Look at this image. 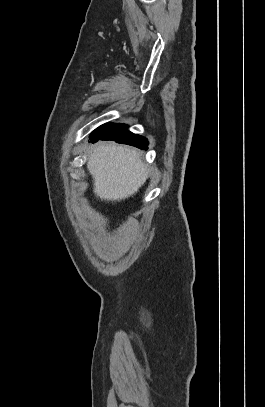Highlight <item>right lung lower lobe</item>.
<instances>
[{"label": "right lung lower lobe", "mask_w": 265, "mask_h": 407, "mask_svg": "<svg viewBox=\"0 0 265 407\" xmlns=\"http://www.w3.org/2000/svg\"><path fill=\"white\" fill-rule=\"evenodd\" d=\"M113 140L117 143H123L138 147L140 149H147L148 141L146 138L133 134L127 129L124 124L115 125L110 130L91 136V142H96L97 140Z\"/></svg>", "instance_id": "1"}]
</instances>
